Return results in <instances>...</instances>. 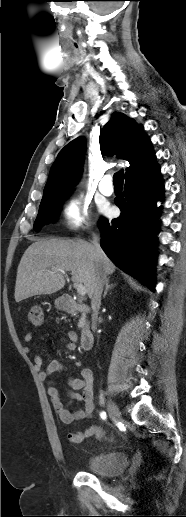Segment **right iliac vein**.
<instances>
[{"mask_svg": "<svg viewBox=\"0 0 186 517\" xmlns=\"http://www.w3.org/2000/svg\"><path fill=\"white\" fill-rule=\"evenodd\" d=\"M107 410H108V413H109L110 417L114 421H120L121 420V413H120L117 405L112 400L108 401V403H107Z\"/></svg>", "mask_w": 186, "mask_h": 517, "instance_id": "1", "label": "right iliac vein"}]
</instances>
